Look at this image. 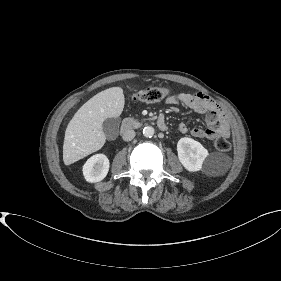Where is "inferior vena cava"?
<instances>
[{
    "mask_svg": "<svg viewBox=\"0 0 281 281\" xmlns=\"http://www.w3.org/2000/svg\"><path fill=\"white\" fill-rule=\"evenodd\" d=\"M135 137L134 130H126L122 134V138L124 141H131Z\"/></svg>",
    "mask_w": 281,
    "mask_h": 281,
    "instance_id": "1",
    "label": "inferior vena cava"
}]
</instances>
